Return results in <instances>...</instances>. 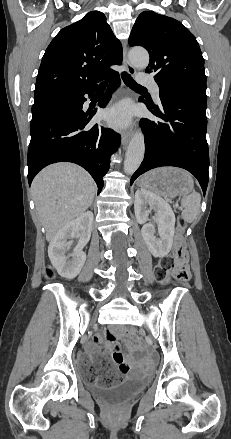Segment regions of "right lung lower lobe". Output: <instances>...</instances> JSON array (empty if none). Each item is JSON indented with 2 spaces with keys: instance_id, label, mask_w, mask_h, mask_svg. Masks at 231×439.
I'll return each instance as SVG.
<instances>
[{
  "instance_id": "obj_1",
  "label": "right lung lower lobe",
  "mask_w": 231,
  "mask_h": 439,
  "mask_svg": "<svg viewBox=\"0 0 231 439\" xmlns=\"http://www.w3.org/2000/svg\"><path fill=\"white\" fill-rule=\"evenodd\" d=\"M112 80L107 92L99 101L104 108L111 93L119 86L117 72L109 75ZM96 85L71 96L69 106L63 111L38 120H31V141L28 149V182L45 166L55 162H73L85 168L98 185V194L103 187V176L107 173L110 155L117 150L121 137L112 129L101 125H88L96 110L84 112L85 94L92 96Z\"/></svg>"
}]
</instances>
